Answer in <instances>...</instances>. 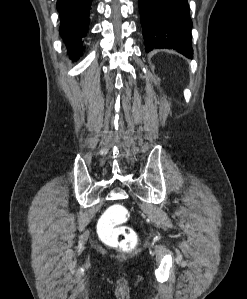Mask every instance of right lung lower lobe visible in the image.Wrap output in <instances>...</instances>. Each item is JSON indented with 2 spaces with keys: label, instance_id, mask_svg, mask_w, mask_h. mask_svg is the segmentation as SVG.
I'll return each instance as SVG.
<instances>
[{
  "label": "right lung lower lobe",
  "instance_id": "right-lung-lower-lobe-1",
  "mask_svg": "<svg viewBox=\"0 0 247 299\" xmlns=\"http://www.w3.org/2000/svg\"><path fill=\"white\" fill-rule=\"evenodd\" d=\"M92 0H58L57 10L60 15V35L72 60L82 55V38L88 31Z\"/></svg>",
  "mask_w": 247,
  "mask_h": 299
}]
</instances>
